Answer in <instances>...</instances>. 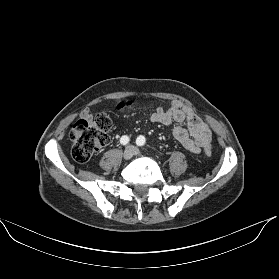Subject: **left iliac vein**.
Returning a JSON list of instances; mask_svg holds the SVG:
<instances>
[{
  "label": "left iliac vein",
  "mask_w": 279,
  "mask_h": 279,
  "mask_svg": "<svg viewBox=\"0 0 279 279\" xmlns=\"http://www.w3.org/2000/svg\"><path fill=\"white\" fill-rule=\"evenodd\" d=\"M135 155H138L139 154V150L137 148H135Z\"/></svg>",
  "instance_id": "1"
}]
</instances>
